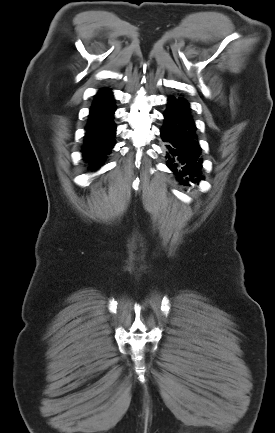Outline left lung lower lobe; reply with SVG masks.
I'll use <instances>...</instances> for the list:
<instances>
[{
    "label": "left lung lower lobe",
    "instance_id": "0a47b994",
    "mask_svg": "<svg viewBox=\"0 0 275 433\" xmlns=\"http://www.w3.org/2000/svg\"><path fill=\"white\" fill-rule=\"evenodd\" d=\"M164 117L160 132L165 142L167 166L181 184L198 183L204 179L201 148L188 102L182 97H169Z\"/></svg>",
    "mask_w": 275,
    "mask_h": 433
}]
</instances>
